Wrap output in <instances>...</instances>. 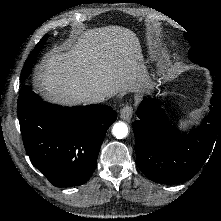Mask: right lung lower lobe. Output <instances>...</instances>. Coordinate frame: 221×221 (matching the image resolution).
I'll use <instances>...</instances> for the list:
<instances>
[{"mask_svg":"<svg viewBox=\"0 0 221 221\" xmlns=\"http://www.w3.org/2000/svg\"><path fill=\"white\" fill-rule=\"evenodd\" d=\"M17 114L27 154L56 187L88 181L116 112L106 105L62 107L48 104L24 85Z\"/></svg>","mask_w":221,"mask_h":221,"instance_id":"right-lung-lower-lobe-1","label":"right lung lower lobe"}]
</instances>
